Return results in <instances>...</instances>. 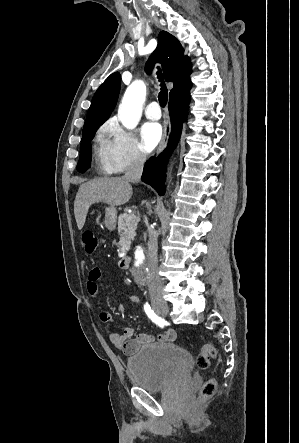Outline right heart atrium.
<instances>
[{"label": "right heart atrium", "instance_id": "d8ad5b80", "mask_svg": "<svg viewBox=\"0 0 299 443\" xmlns=\"http://www.w3.org/2000/svg\"><path fill=\"white\" fill-rule=\"evenodd\" d=\"M100 131L105 137L108 158L114 172H124L144 164L146 154L133 133L114 120L106 122Z\"/></svg>", "mask_w": 299, "mask_h": 443}]
</instances>
